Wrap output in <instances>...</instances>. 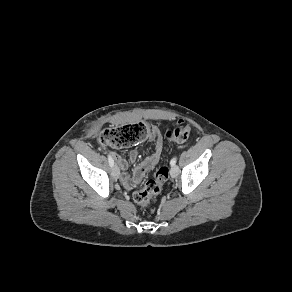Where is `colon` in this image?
I'll return each instance as SVG.
<instances>
[{
  "instance_id": "obj_1",
  "label": "colon",
  "mask_w": 292,
  "mask_h": 292,
  "mask_svg": "<svg viewBox=\"0 0 292 292\" xmlns=\"http://www.w3.org/2000/svg\"><path fill=\"white\" fill-rule=\"evenodd\" d=\"M190 133V125L180 120L174 127L168 129L165 135L170 141L182 143L189 138ZM156 135L157 130L151 124L136 122L123 126L106 128L99 134L97 140L98 143L103 146L119 148L136 144L145 139H152ZM168 175L169 170L166 166H161L156 169L153 178L148 180L142 189L134 193V201L141 206H149L152 199L161 192L165 181L168 179Z\"/></svg>"
}]
</instances>
